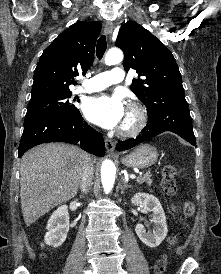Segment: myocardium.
<instances>
[{"label":"myocardium","instance_id":"f54148a6","mask_svg":"<svg viewBox=\"0 0 221 274\" xmlns=\"http://www.w3.org/2000/svg\"><path fill=\"white\" fill-rule=\"evenodd\" d=\"M127 111L131 115L128 122H124L120 128V134L123 136L137 135L147 123V112L138 102H130Z\"/></svg>","mask_w":221,"mask_h":274}]
</instances>
